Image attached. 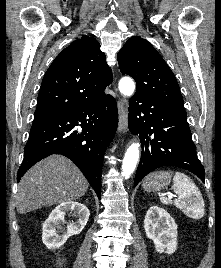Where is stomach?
Listing matches in <instances>:
<instances>
[{"label": "stomach", "instance_id": "obj_1", "mask_svg": "<svg viewBox=\"0 0 221 268\" xmlns=\"http://www.w3.org/2000/svg\"><path fill=\"white\" fill-rule=\"evenodd\" d=\"M171 174L168 172H155L146 177L142 183L145 191H160L171 182Z\"/></svg>", "mask_w": 221, "mask_h": 268}]
</instances>
